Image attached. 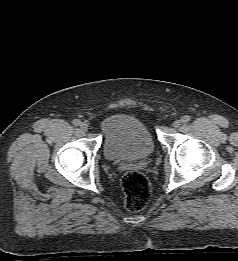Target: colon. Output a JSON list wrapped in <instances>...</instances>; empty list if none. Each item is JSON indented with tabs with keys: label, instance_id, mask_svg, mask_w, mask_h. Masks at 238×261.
I'll return each instance as SVG.
<instances>
[{
	"label": "colon",
	"instance_id": "5ec220e1",
	"mask_svg": "<svg viewBox=\"0 0 238 261\" xmlns=\"http://www.w3.org/2000/svg\"><path fill=\"white\" fill-rule=\"evenodd\" d=\"M122 188L125 194V207L129 211L143 209L150 198L148 180L139 171H128L122 178Z\"/></svg>",
	"mask_w": 238,
	"mask_h": 261
}]
</instances>
